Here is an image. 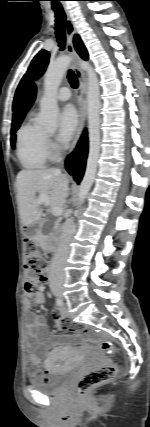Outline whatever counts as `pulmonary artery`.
Listing matches in <instances>:
<instances>
[{"label":"pulmonary artery","mask_w":150,"mask_h":427,"mask_svg":"<svg viewBox=\"0 0 150 427\" xmlns=\"http://www.w3.org/2000/svg\"><path fill=\"white\" fill-rule=\"evenodd\" d=\"M70 97H71V92L68 87H61L56 94V98L59 101H67L70 99Z\"/></svg>","instance_id":"1"}]
</instances>
